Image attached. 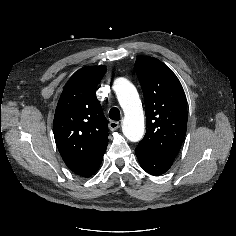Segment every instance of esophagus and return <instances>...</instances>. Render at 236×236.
<instances>
[{
  "instance_id": "1",
  "label": "esophagus",
  "mask_w": 236,
  "mask_h": 236,
  "mask_svg": "<svg viewBox=\"0 0 236 236\" xmlns=\"http://www.w3.org/2000/svg\"><path fill=\"white\" fill-rule=\"evenodd\" d=\"M119 126H120V124H119L118 121H111V122L109 123V128H110L112 131L118 129Z\"/></svg>"
}]
</instances>
